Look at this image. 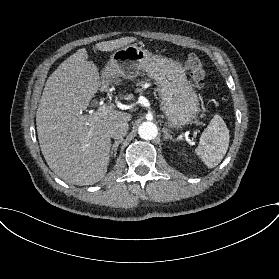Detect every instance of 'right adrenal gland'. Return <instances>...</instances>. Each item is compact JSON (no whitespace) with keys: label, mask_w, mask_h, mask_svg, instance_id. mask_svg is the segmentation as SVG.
<instances>
[{"label":"right adrenal gland","mask_w":279,"mask_h":279,"mask_svg":"<svg viewBox=\"0 0 279 279\" xmlns=\"http://www.w3.org/2000/svg\"><path fill=\"white\" fill-rule=\"evenodd\" d=\"M123 139H118L114 142V144L110 148V155L116 156L118 146L122 143Z\"/></svg>","instance_id":"1"}]
</instances>
